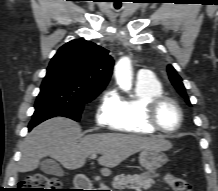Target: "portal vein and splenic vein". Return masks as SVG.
Wrapping results in <instances>:
<instances>
[{"label": "portal vein and splenic vein", "instance_id": "portal-vein-and-splenic-vein-1", "mask_svg": "<svg viewBox=\"0 0 218 191\" xmlns=\"http://www.w3.org/2000/svg\"><path fill=\"white\" fill-rule=\"evenodd\" d=\"M96 157H97V155H91L90 158H91V159H95ZM101 187H102V189H106V188H105L106 186H104L103 184H101Z\"/></svg>", "mask_w": 218, "mask_h": 191}]
</instances>
